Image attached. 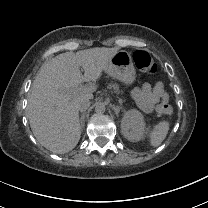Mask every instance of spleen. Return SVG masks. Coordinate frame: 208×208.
I'll return each mask as SVG.
<instances>
[{
    "label": "spleen",
    "instance_id": "1",
    "mask_svg": "<svg viewBox=\"0 0 208 208\" xmlns=\"http://www.w3.org/2000/svg\"><path fill=\"white\" fill-rule=\"evenodd\" d=\"M169 131V122L162 121L154 126L153 130L149 133L150 143L154 147H158L166 138Z\"/></svg>",
    "mask_w": 208,
    "mask_h": 208
}]
</instances>
